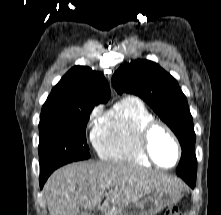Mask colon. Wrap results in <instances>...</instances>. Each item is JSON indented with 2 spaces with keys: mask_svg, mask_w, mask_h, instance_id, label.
Masks as SVG:
<instances>
[{
  "mask_svg": "<svg viewBox=\"0 0 221 215\" xmlns=\"http://www.w3.org/2000/svg\"><path fill=\"white\" fill-rule=\"evenodd\" d=\"M164 215H180L178 208L172 207L165 211Z\"/></svg>",
  "mask_w": 221,
  "mask_h": 215,
  "instance_id": "obj_1",
  "label": "colon"
}]
</instances>
